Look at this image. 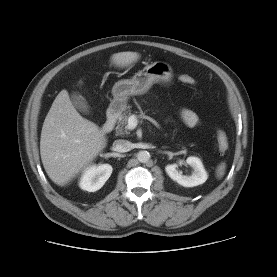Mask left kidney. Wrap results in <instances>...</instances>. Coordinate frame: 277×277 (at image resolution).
Wrapping results in <instances>:
<instances>
[{
    "instance_id": "1",
    "label": "left kidney",
    "mask_w": 277,
    "mask_h": 277,
    "mask_svg": "<svg viewBox=\"0 0 277 277\" xmlns=\"http://www.w3.org/2000/svg\"><path fill=\"white\" fill-rule=\"evenodd\" d=\"M186 163L193 168L191 175H182L177 170V164L167 165L165 171L172 180L184 187H194L203 184L207 180L208 175L201 160L198 157L190 156L186 159Z\"/></svg>"
}]
</instances>
